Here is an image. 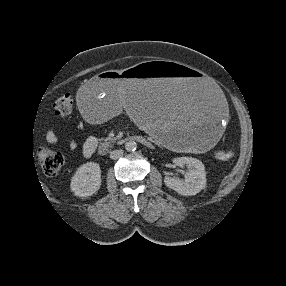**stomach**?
<instances>
[{
  "label": "stomach",
  "instance_id": "1",
  "mask_svg": "<svg viewBox=\"0 0 286 286\" xmlns=\"http://www.w3.org/2000/svg\"><path fill=\"white\" fill-rule=\"evenodd\" d=\"M75 107L91 123L116 119L126 110L138 127L180 154L213 147L227 120L225 100L213 83L168 60L104 67L83 83Z\"/></svg>",
  "mask_w": 286,
  "mask_h": 286
}]
</instances>
